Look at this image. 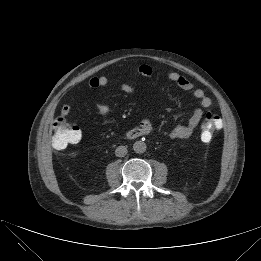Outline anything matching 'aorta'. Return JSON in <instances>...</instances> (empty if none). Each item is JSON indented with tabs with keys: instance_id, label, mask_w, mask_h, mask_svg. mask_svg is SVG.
I'll use <instances>...</instances> for the list:
<instances>
[{
	"instance_id": "obj_1",
	"label": "aorta",
	"mask_w": 261,
	"mask_h": 261,
	"mask_svg": "<svg viewBox=\"0 0 261 261\" xmlns=\"http://www.w3.org/2000/svg\"><path fill=\"white\" fill-rule=\"evenodd\" d=\"M146 143L143 142V141H136L134 144H133V149L136 153H144L146 151Z\"/></svg>"
}]
</instances>
